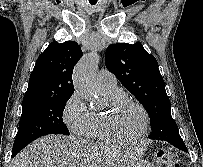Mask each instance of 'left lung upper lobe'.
I'll list each match as a JSON object with an SVG mask.
<instances>
[{
    "mask_svg": "<svg viewBox=\"0 0 203 167\" xmlns=\"http://www.w3.org/2000/svg\"><path fill=\"white\" fill-rule=\"evenodd\" d=\"M105 63L107 69L146 109L152 129L149 138L164 140L169 135L180 137L171 116V104L157 60L146 52L142 44L110 45L106 50Z\"/></svg>",
    "mask_w": 203,
    "mask_h": 167,
    "instance_id": "obj_1",
    "label": "left lung upper lobe"
}]
</instances>
